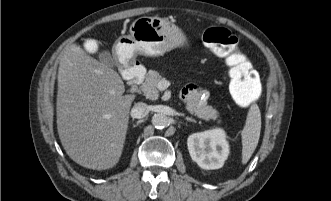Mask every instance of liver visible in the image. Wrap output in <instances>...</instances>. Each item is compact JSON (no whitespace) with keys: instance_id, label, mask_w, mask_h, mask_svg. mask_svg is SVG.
<instances>
[{"instance_id":"liver-1","label":"liver","mask_w":331,"mask_h":201,"mask_svg":"<svg viewBox=\"0 0 331 201\" xmlns=\"http://www.w3.org/2000/svg\"><path fill=\"white\" fill-rule=\"evenodd\" d=\"M120 75L71 45L60 58L57 130L67 155L93 169L114 167L123 151L131 104Z\"/></svg>"}]
</instances>
